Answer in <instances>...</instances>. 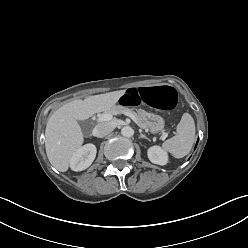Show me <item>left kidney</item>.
Here are the masks:
<instances>
[{
	"mask_svg": "<svg viewBox=\"0 0 248 248\" xmlns=\"http://www.w3.org/2000/svg\"><path fill=\"white\" fill-rule=\"evenodd\" d=\"M149 160L158 165H166L168 162L167 153L159 146H153L148 149Z\"/></svg>",
	"mask_w": 248,
	"mask_h": 248,
	"instance_id": "5707ae66",
	"label": "left kidney"
}]
</instances>
